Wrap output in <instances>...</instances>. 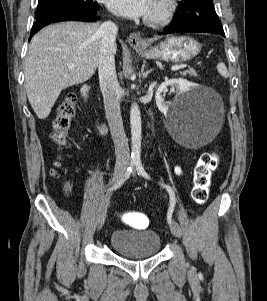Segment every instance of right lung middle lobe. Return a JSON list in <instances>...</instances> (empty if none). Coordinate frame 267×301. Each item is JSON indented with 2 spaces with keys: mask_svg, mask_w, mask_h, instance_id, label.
Segmentation results:
<instances>
[{
  "mask_svg": "<svg viewBox=\"0 0 267 301\" xmlns=\"http://www.w3.org/2000/svg\"><path fill=\"white\" fill-rule=\"evenodd\" d=\"M97 2L92 0H38L35 18L58 11H83L94 7Z\"/></svg>",
  "mask_w": 267,
  "mask_h": 301,
  "instance_id": "right-lung-middle-lobe-1",
  "label": "right lung middle lobe"
}]
</instances>
